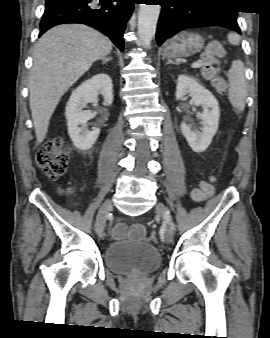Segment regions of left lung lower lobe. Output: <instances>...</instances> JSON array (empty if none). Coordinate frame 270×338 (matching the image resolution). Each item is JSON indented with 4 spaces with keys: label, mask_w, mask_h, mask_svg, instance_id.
<instances>
[{
    "label": "left lung lower lobe",
    "mask_w": 270,
    "mask_h": 338,
    "mask_svg": "<svg viewBox=\"0 0 270 338\" xmlns=\"http://www.w3.org/2000/svg\"><path fill=\"white\" fill-rule=\"evenodd\" d=\"M162 11L156 40L161 45L176 33L199 26H220L240 33L237 11L225 8V0H159Z\"/></svg>",
    "instance_id": "left-lung-lower-lobe-1"
}]
</instances>
